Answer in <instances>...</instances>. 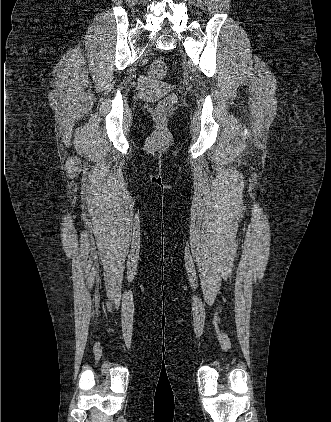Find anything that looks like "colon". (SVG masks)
I'll use <instances>...</instances> for the list:
<instances>
[{"instance_id":"5ec220e1","label":"colon","mask_w":331,"mask_h":422,"mask_svg":"<svg viewBox=\"0 0 331 422\" xmlns=\"http://www.w3.org/2000/svg\"><path fill=\"white\" fill-rule=\"evenodd\" d=\"M166 71V63L161 59H156L149 65L148 75L153 78H161L166 74ZM174 102L175 97L173 95L167 96L156 105L155 113L159 116L164 115Z\"/></svg>"}]
</instances>
